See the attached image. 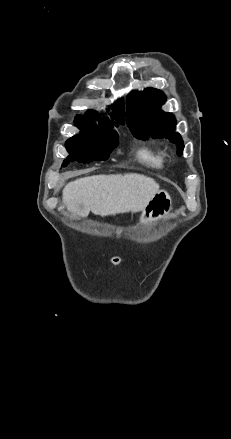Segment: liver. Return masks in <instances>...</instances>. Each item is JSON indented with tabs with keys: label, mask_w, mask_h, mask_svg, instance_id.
Listing matches in <instances>:
<instances>
[{
	"label": "liver",
	"mask_w": 231,
	"mask_h": 439,
	"mask_svg": "<svg viewBox=\"0 0 231 439\" xmlns=\"http://www.w3.org/2000/svg\"><path fill=\"white\" fill-rule=\"evenodd\" d=\"M159 191V184L137 173L94 175L69 182L63 189V203L77 218L109 216L143 211Z\"/></svg>",
	"instance_id": "6515ba94"
}]
</instances>
